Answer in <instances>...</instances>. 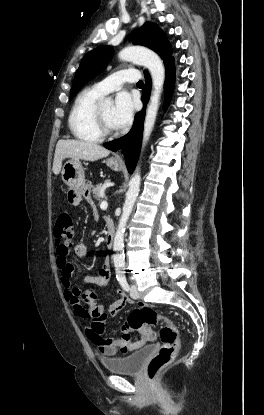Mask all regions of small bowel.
Returning a JSON list of instances; mask_svg holds the SVG:
<instances>
[{
	"label": "small bowel",
	"mask_w": 264,
	"mask_h": 415,
	"mask_svg": "<svg viewBox=\"0 0 264 415\" xmlns=\"http://www.w3.org/2000/svg\"><path fill=\"white\" fill-rule=\"evenodd\" d=\"M93 218L98 219V211L96 208L93 209ZM88 253V246L85 243H79L75 246V254L82 258L85 257ZM69 249L60 248L57 251V265L62 272L61 281L64 287V297L66 301L71 306L72 310L75 312L79 318L82 320H87L88 309L85 308L81 301L82 288L74 286L72 284L71 272L74 270V265L68 259ZM111 279V266L109 259L106 258L98 270L96 276H84L82 282L86 284H93L98 288H103L108 286ZM133 303V300L125 295L120 293L118 299L105 305L104 310L108 315H113L119 312L121 309ZM126 323L122 326V330L126 329ZM86 335L93 341L97 346L99 352L104 358L113 356L117 351L123 353L132 352L140 347H142L146 341L141 339L133 343H123L118 337L110 339L108 341L101 339L94 341L92 337L95 335L89 324L85 325Z\"/></svg>",
	"instance_id": "small-bowel-1"
}]
</instances>
